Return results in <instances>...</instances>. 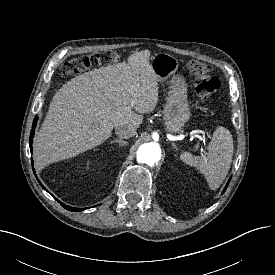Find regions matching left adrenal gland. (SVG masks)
<instances>
[{"label":"left adrenal gland","mask_w":275,"mask_h":275,"mask_svg":"<svg viewBox=\"0 0 275 275\" xmlns=\"http://www.w3.org/2000/svg\"><path fill=\"white\" fill-rule=\"evenodd\" d=\"M172 147L176 150H178V147L175 145V143H172Z\"/></svg>","instance_id":"1"}]
</instances>
